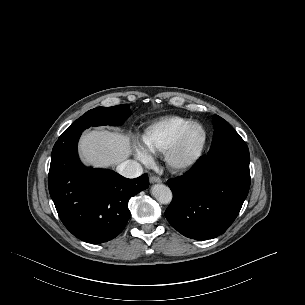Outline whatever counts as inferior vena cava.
I'll list each match as a JSON object with an SVG mask.
<instances>
[{
  "label": "inferior vena cava",
  "instance_id": "1",
  "mask_svg": "<svg viewBox=\"0 0 305 305\" xmlns=\"http://www.w3.org/2000/svg\"><path fill=\"white\" fill-rule=\"evenodd\" d=\"M117 172L126 178H136L143 174V168L137 161L126 160L117 166Z\"/></svg>",
  "mask_w": 305,
  "mask_h": 305
}]
</instances>
